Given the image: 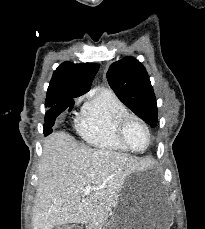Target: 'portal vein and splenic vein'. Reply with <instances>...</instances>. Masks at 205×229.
Returning a JSON list of instances; mask_svg holds the SVG:
<instances>
[{
	"label": "portal vein and splenic vein",
	"mask_w": 205,
	"mask_h": 229,
	"mask_svg": "<svg viewBox=\"0 0 205 229\" xmlns=\"http://www.w3.org/2000/svg\"><path fill=\"white\" fill-rule=\"evenodd\" d=\"M97 189H98V187H94V186L87 185V186L84 188L83 194H84V196H85V195H88L91 191L97 190Z\"/></svg>",
	"instance_id": "1"
}]
</instances>
